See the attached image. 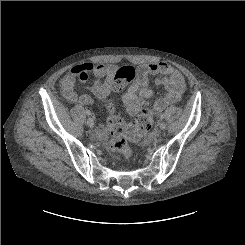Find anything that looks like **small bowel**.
Returning a JSON list of instances; mask_svg holds the SVG:
<instances>
[{"label":"small bowel","mask_w":245,"mask_h":245,"mask_svg":"<svg viewBox=\"0 0 245 245\" xmlns=\"http://www.w3.org/2000/svg\"><path fill=\"white\" fill-rule=\"evenodd\" d=\"M124 68L116 65L83 64L70 70L62 80L63 96L71 103L88 105L92 98L87 94L78 95L75 89L78 80L86 82L91 75L96 80L91 86L92 93L101 100H105L114 90L115 80L121 75ZM156 75V84L165 88V94L153 105L155 112L160 113L167 106L178 102L186 88L185 80L179 70L166 62H149L140 65L136 69V75L127 91L122 96V102L126 111L133 115L146 104L153 91L149 86V76ZM82 76H86L82 78ZM108 133L106 127H101L99 136L105 137Z\"/></svg>","instance_id":"obj_1"}]
</instances>
